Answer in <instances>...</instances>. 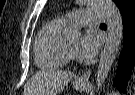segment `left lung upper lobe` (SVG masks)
I'll return each mask as SVG.
<instances>
[{"mask_svg":"<svg viewBox=\"0 0 135 95\" xmlns=\"http://www.w3.org/2000/svg\"><path fill=\"white\" fill-rule=\"evenodd\" d=\"M121 14L135 5V0H113Z\"/></svg>","mask_w":135,"mask_h":95,"instance_id":"left-lung-upper-lobe-1","label":"left lung upper lobe"}]
</instances>
